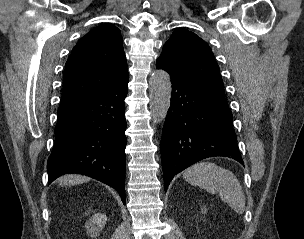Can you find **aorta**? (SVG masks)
Wrapping results in <instances>:
<instances>
[{"instance_id": "762f6f07", "label": "aorta", "mask_w": 304, "mask_h": 239, "mask_svg": "<svg viewBox=\"0 0 304 239\" xmlns=\"http://www.w3.org/2000/svg\"><path fill=\"white\" fill-rule=\"evenodd\" d=\"M171 80L167 72L155 70L149 81L150 111L154 122H162L167 115L171 101Z\"/></svg>"}]
</instances>
